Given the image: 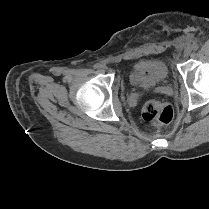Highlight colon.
Returning a JSON list of instances; mask_svg holds the SVG:
<instances>
[{"label": "colon", "mask_w": 209, "mask_h": 209, "mask_svg": "<svg viewBox=\"0 0 209 209\" xmlns=\"http://www.w3.org/2000/svg\"><path fill=\"white\" fill-rule=\"evenodd\" d=\"M173 116V108L160 101H148L142 108V118L152 125H167L172 121Z\"/></svg>", "instance_id": "5ec220e1"}]
</instances>
